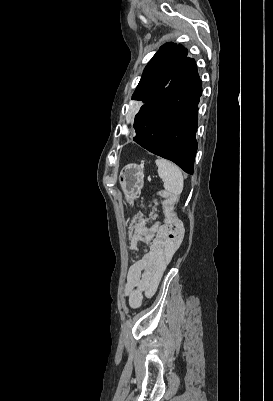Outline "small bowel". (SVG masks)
<instances>
[{
	"mask_svg": "<svg viewBox=\"0 0 273 401\" xmlns=\"http://www.w3.org/2000/svg\"><path fill=\"white\" fill-rule=\"evenodd\" d=\"M129 221L130 249L136 250L140 244L147 246L143 255L129 267L123 288V296L129 306L137 308L145 297L149 298L155 294L180 241H153L154 229L165 228L156 222V218H153L147 230L145 221H150V218L131 215Z\"/></svg>",
	"mask_w": 273,
	"mask_h": 401,
	"instance_id": "obj_1",
	"label": "small bowel"
}]
</instances>
